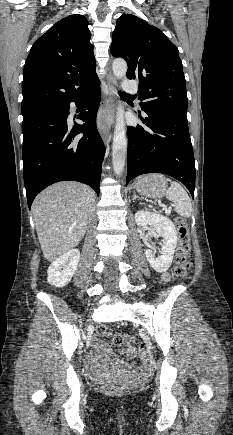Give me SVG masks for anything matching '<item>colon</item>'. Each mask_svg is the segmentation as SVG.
<instances>
[{
    "label": "colon",
    "mask_w": 233,
    "mask_h": 435,
    "mask_svg": "<svg viewBox=\"0 0 233 435\" xmlns=\"http://www.w3.org/2000/svg\"><path fill=\"white\" fill-rule=\"evenodd\" d=\"M174 224L178 231V246L176 249L175 266L173 273L178 278H186L189 268L190 240L188 235V225L186 220L181 216L174 218ZM97 333L100 337L113 336L114 344L121 345L126 343L130 337L123 333L113 335L112 330L101 325L97 328ZM141 348V345H138ZM102 393L106 395H117L124 392V386L118 383L106 381L101 385Z\"/></svg>",
    "instance_id": "colon-1"
}]
</instances>
